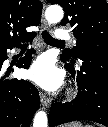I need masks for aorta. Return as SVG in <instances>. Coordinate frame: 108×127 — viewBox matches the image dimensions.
<instances>
[{"label": "aorta", "instance_id": "762f6f07", "mask_svg": "<svg viewBox=\"0 0 108 127\" xmlns=\"http://www.w3.org/2000/svg\"><path fill=\"white\" fill-rule=\"evenodd\" d=\"M64 12L61 6L51 5L45 12L48 23H58L63 19ZM33 127H47V114L45 111H38L34 117Z\"/></svg>", "mask_w": 108, "mask_h": 127}]
</instances>
